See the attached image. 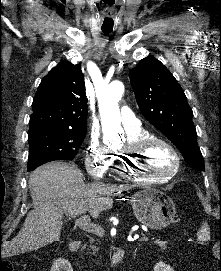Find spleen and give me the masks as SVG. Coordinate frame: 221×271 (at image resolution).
I'll list each match as a JSON object with an SVG mask.
<instances>
[{"label":"spleen","mask_w":221,"mask_h":271,"mask_svg":"<svg viewBox=\"0 0 221 271\" xmlns=\"http://www.w3.org/2000/svg\"><path fill=\"white\" fill-rule=\"evenodd\" d=\"M198 241H208L210 239V231L208 227V223L203 221L198 233H197Z\"/></svg>","instance_id":"spleen-1"}]
</instances>
